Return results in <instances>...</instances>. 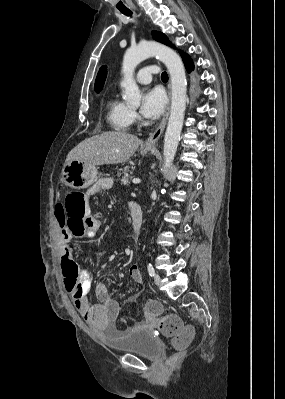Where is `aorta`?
Instances as JSON below:
<instances>
[{
    "label": "aorta",
    "mask_w": 285,
    "mask_h": 399,
    "mask_svg": "<svg viewBox=\"0 0 285 399\" xmlns=\"http://www.w3.org/2000/svg\"><path fill=\"white\" fill-rule=\"evenodd\" d=\"M156 56L167 67L172 85V101L170 117L164 138V174L174 160L183 126L186 105V75L179 55L171 48L154 41L141 42L127 49L123 57L121 87L124 89L123 99L129 106L138 107L141 92L134 80L136 66L145 59Z\"/></svg>",
    "instance_id": "762f6f07"
}]
</instances>
